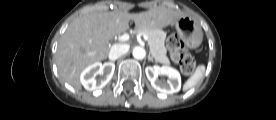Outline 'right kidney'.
Listing matches in <instances>:
<instances>
[{
    "instance_id": "ca27d5eb",
    "label": "right kidney",
    "mask_w": 276,
    "mask_h": 120,
    "mask_svg": "<svg viewBox=\"0 0 276 120\" xmlns=\"http://www.w3.org/2000/svg\"><path fill=\"white\" fill-rule=\"evenodd\" d=\"M114 70L115 64L113 62L104 64L95 62L82 71L80 81L86 90H99L111 80ZM97 75H100L99 79H96Z\"/></svg>"
}]
</instances>
